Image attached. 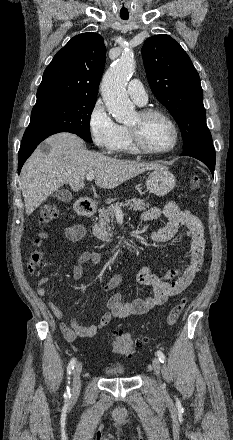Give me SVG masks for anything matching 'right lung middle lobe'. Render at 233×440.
Listing matches in <instances>:
<instances>
[{
    "label": "right lung middle lobe",
    "instance_id": "right-lung-middle-lobe-1",
    "mask_svg": "<svg viewBox=\"0 0 233 440\" xmlns=\"http://www.w3.org/2000/svg\"><path fill=\"white\" fill-rule=\"evenodd\" d=\"M95 102L96 99L66 97L38 102L27 129L66 131L92 142L89 124Z\"/></svg>",
    "mask_w": 233,
    "mask_h": 440
}]
</instances>
